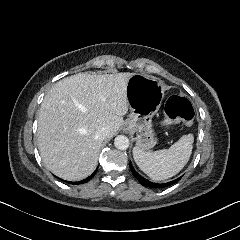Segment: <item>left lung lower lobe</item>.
Returning <instances> with one entry per match:
<instances>
[{
    "instance_id": "obj_1",
    "label": "left lung lower lobe",
    "mask_w": 240,
    "mask_h": 240,
    "mask_svg": "<svg viewBox=\"0 0 240 240\" xmlns=\"http://www.w3.org/2000/svg\"><path fill=\"white\" fill-rule=\"evenodd\" d=\"M130 168H131V171H132V174L134 175V177H136L138 179V181L146 186V187H149V188H163V187H166V186H169V185H172V184H175L176 182H178L180 178L176 179V180H173L171 182H168V183H165V184H158V183H153V182H150L148 180H146L145 178H143L141 175H139L135 170L134 168L132 167V165L130 164Z\"/></svg>"
}]
</instances>
